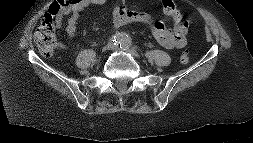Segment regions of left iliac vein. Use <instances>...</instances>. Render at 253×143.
Segmentation results:
<instances>
[{"instance_id":"obj_1","label":"left iliac vein","mask_w":253,"mask_h":143,"mask_svg":"<svg viewBox=\"0 0 253 143\" xmlns=\"http://www.w3.org/2000/svg\"><path fill=\"white\" fill-rule=\"evenodd\" d=\"M112 49L115 50V51H125V52H128V53H131L134 57L138 58L139 55L133 50L131 49L130 47H123V48H120L118 46H112Z\"/></svg>"}]
</instances>
